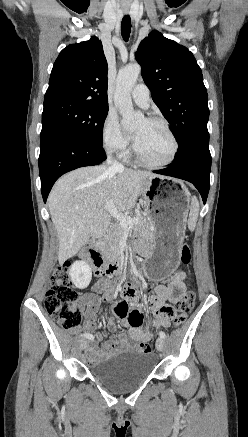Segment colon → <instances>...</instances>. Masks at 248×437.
<instances>
[{
    "mask_svg": "<svg viewBox=\"0 0 248 437\" xmlns=\"http://www.w3.org/2000/svg\"><path fill=\"white\" fill-rule=\"evenodd\" d=\"M181 261L189 264L191 261V251L187 245L181 249ZM101 262L98 263V267ZM69 264L58 265L49 281L48 289L45 294V307L54 321L62 327L73 329L78 326L82 319V304L78 300V294L73 286ZM195 304V294L188 292L177 302L178 314L174 316V326H181ZM123 313V312H122ZM139 351L150 353L153 351L152 344L148 342L139 345Z\"/></svg>",
    "mask_w": 248,
    "mask_h": 437,
    "instance_id": "5ec220e1",
    "label": "colon"
}]
</instances>
